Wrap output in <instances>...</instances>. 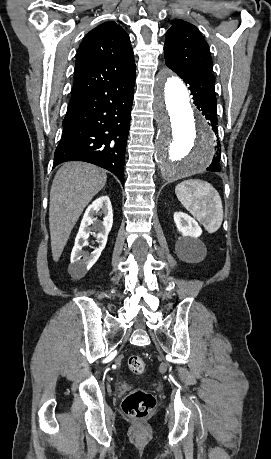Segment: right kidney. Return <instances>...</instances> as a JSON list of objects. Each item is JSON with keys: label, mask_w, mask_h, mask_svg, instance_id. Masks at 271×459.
I'll use <instances>...</instances> for the list:
<instances>
[{"label": "right kidney", "mask_w": 271, "mask_h": 459, "mask_svg": "<svg viewBox=\"0 0 271 459\" xmlns=\"http://www.w3.org/2000/svg\"><path fill=\"white\" fill-rule=\"evenodd\" d=\"M102 216L104 214L103 222L97 220L95 216ZM113 224V212L111 202L108 196H100L97 198L91 206H88L79 231L75 237L74 247L71 251V263L68 267V271L71 277L75 279H81L87 273L88 269L92 267L93 263L97 261L99 255H101L102 249H104L107 241V235L112 228ZM98 231L96 241H98V247H94L92 253H86L82 247L87 245L86 239L89 237V233ZM83 257V259H81Z\"/></svg>", "instance_id": "obj_1"}]
</instances>
